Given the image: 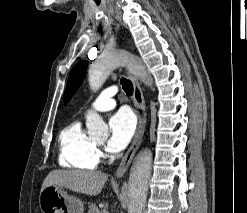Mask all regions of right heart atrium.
Listing matches in <instances>:
<instances>
[{
    "label": "right heart atrium",
    "mask_w": 247,
    "mask_h": 213,
    "mask_svg": "<svg viewBox=\"0 0 247 213\" xmlns=\"http://www.w3.org/2000/svg\"><path fill=\"white\" fill-rule=\"evenodd\" d=\"M99 155H101V153L100 152H97Z\"/></svg>",
    "instance_id": "obj_1"
}]
</instances>
